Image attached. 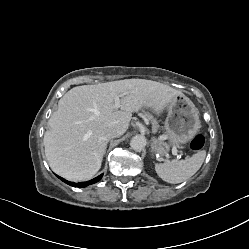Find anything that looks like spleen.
<instances>
[{"instance_id": "1", "label": "spleen", "mask_w": 249, "mask_h": 249, "mask_svg": "<svg viewBox=\"0 0 249 249\" xmlns=\"http://www.w3.org/2000/svg\"><path fill=\"white\" fill-rule=\"evenodd\" d=\"M205 157L206 151L202 150L185 160L155 164V171L162 180L178 184L193 176L202 166Z\"/></svg>"}]
</instances>
